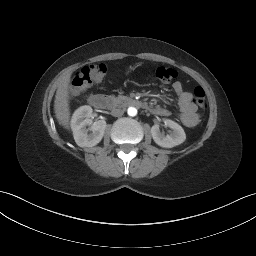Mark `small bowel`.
I'll return each mask as SVG.
<instances>
[{
	"instance_id": "obj_1",
	"label": "small bowel",
	"mask_w": 256,
	"mask_h": 256,
	"mask_svg": "<svg viewBox=\"0 0 256 256\" xmlns=\"http://www.w3.org/2000/svg\"><path fill=\"white\" fill-rule=\"evenodd\" d=\"M172 88L178 97V105L180 108V120L187 127H193L198 123L199 116L197 107L193 103V95L185 91L181 82L176 81ZM152 112L159 116H169L170 111L161 106L152 107Z\"/></svg>"
}]
</instances>
